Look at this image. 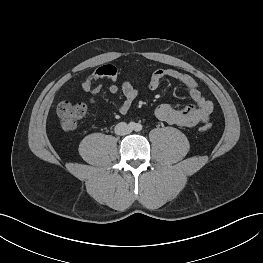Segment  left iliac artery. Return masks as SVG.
Here are the masks:
<instances>
[{"label": "left iliac artery", "mask_w": 263, "mask_h": 263, "mask_svg": "<svg viewBox=\"0 0 263 263\" xmlns=\"http://www.w3.org/2000/svg\"><path fill=\"white\" fill-rule=\"evenodd\" d=\"M142 130V125L141 124H137L136 125V131H141Z\"/></svg>", "instance_id": "44dca946"}]
</instances>
